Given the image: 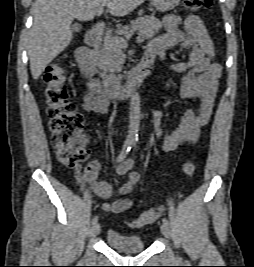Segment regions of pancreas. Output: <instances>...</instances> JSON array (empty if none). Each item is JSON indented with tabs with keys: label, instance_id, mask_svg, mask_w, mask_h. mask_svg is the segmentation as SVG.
Here are the masks:
<instances>
[{
	"label": "pancreas",
	"instance_id": "cf45deb5",
	"mask_svg": "<svg viewBox=\"0 0 254 267\" xmlns=\"http://www.w3.org/2000/svg\"><path fill=\"white\" fill-rule=\"evenodd\" d=\"M162 28L161 22L153 15L139 17L131 22V27L124 26L114 32H109L102 43L92 52V60L103 72L117 73L120 71L123 53L122 36L138 31L144 39L152 38Z\"/></svg>",
	"mask_w": 254,
	"mask_h": 267
}]
</instances>
